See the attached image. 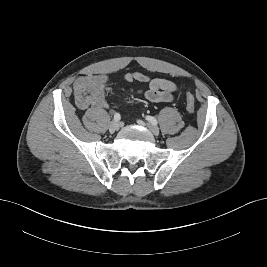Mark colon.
I'll return each instance as SVG.
<instances>
[{"label":"colon","instance_id":"obj_1","mask_svg":"<svg viewBox=\"0 0 267 267\" xmlns=\"http://www.w3.org/2000/svg\"><path fill=\"white\" fill-rule=\"evenodd\" d=\"M186 108L189 113H194L195 110V100L191 93L186 94Z\"/></svg>","mask_w":267,"mask_h":267}]
</instances>
